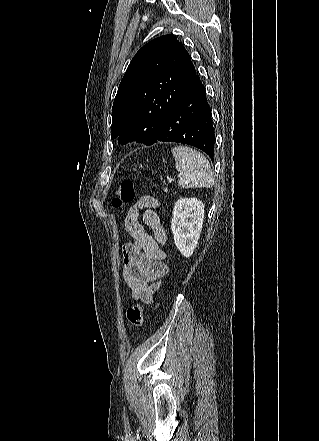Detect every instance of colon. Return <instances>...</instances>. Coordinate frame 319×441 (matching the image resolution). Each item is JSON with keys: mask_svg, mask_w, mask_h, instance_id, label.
Segmentation results:
<instances>
[{"mask_svg": "<svg viewBox=\"0 0 319 441\" xmlns=\"http://www.w3.org/2000/svg\"><path fill=\"white\" fill-rule=\"evenodd\" d=\"M135 200L136 194L133 181L124 180L115 190L111 203L114 208H120L124 204ZM143 313L144 309L140 304L133 305L127 310V319L132 330H137L143 325Z\"/></svg>", "mask_w": 319, "mask_h": 441, "instance_id": "obj_1", "label": "colon"}]
</instances>
